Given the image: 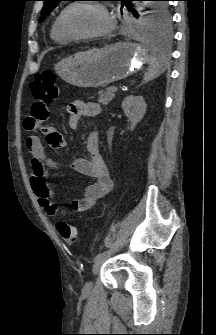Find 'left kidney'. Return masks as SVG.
<instances>
[{
	"mask_svg": "<svg viewBox=\"0 0 216 335\" xmlns=\"http://www.w3.org/2000/svg\"><path fill=\"white\" fill-rule=\"evenodd\" d=\"M146 103L142 96H127L122 102L125 115L131 122V131L141 121L146 112Z\"/></svg>",
	"mask_w": 216,
	"mask_h": 335,
	"instance_id": "1",
	"label": "left kidney"
}]
</instances>
